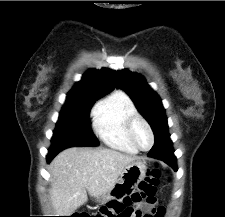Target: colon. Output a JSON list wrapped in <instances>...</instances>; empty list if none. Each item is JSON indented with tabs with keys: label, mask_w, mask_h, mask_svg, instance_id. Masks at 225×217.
<instances>
[{
	"label": "colon",
	"mask_w": 225,
	"mask_h": 217,
	"mask_svg": "<svg viewBox=\"0 0 225 217\" xmlns=\"http://www.w3.org/2000/svg\"><path fill=\"white\" fill-rule=\"evenodd\" d=\"M160 177L161 171L158 168H150L146 173L145 179L140 183L137 189L131 191L128 195H122L120 198L109 202L108 205L103 207L97 214L89 217H117V214L121 211L122 207L139 203L144 199H153L157 186L159 185ZM162 213L163 209L159 208L158 210H155L154 217H160ZM138 217H141V215Z\"/></svg>",
	"instance_id": "5ec220e1"
}]
</instances>
